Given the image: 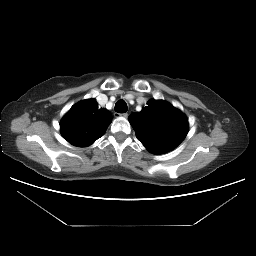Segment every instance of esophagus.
I'll use <instances>...</instances> for the list:
<instances>
[{
	"instance_id": "esophagus-1",
	"label": "esophagus",
	"mask_w": 256,
	"mask_h": 256,
	"mask_svg": "<svg viewBox=\"0 0 256 256\" xmlns=\"http://www.w3.org/2000/svg\"><path fill=\"white\" fill-rule=\"evenodd\" d=\"M116 116L127 118L128 113H123V114L116 113Z\"/></svg>"
}]
</instances>
